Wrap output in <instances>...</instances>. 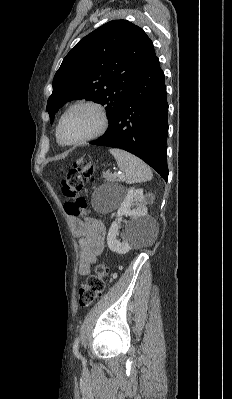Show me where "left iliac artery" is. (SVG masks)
Listing matches in <instances>:
<instances>
[{
  "label": "left iliac artery",
  "mask_w": 232,
  "mask_h": 399,
  "mask_svg": "<svg viewBox=\"0 0 232 399\" xmlns=\"http://www.w3.org/2000/svg\"><path fill=\"white\" fill-rule=\"evenodd\" d=\"M79 343H80V338L77 337L74 341L73 348H72L73 354L76 358L81 357V354L79 353Z\"/></svg>",
  "instance_id": "44dca946"
}]
</instances>
